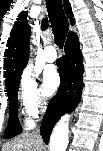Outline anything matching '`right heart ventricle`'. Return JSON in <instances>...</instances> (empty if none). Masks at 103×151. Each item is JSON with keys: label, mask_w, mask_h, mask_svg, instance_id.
Returning <instances> with one entry per match:
<instances>
[{"label": "right heart ventricle", "mask_w": 103, "mask_h": 151, "mask_svg": "<svg viewBox=\"0 0 103 151\" xmlns=\"http://www.w3.org/2000/svg\"><path fill=\"white\" fill-rule=\"evenodd\" d=\"M27 126H30L31 122L29 120L26 121Z\"/></svg>", "instance_id": "right-heart-ventricle-1"}]
</instances>
